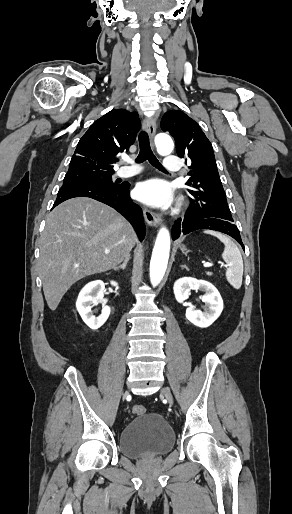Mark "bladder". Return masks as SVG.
Returning a JSON list of instances; mask_svg holds the SVG:
<instances>
[{
	"label": "bladder",
	"instance_id": "bladder-1",
	"mask_svg": "<svg viewBox=\"0 0 292 514\" xmlns=\"http://www.w3.org/2000/svg\"><path fill=\"white\" fill-rule=\"evenodd\" d=\"M175 435L165 418L154 412L131 419L119 436V448L129 458H147L172 449Z\"/></svg>",
	"mask_w": 292,
	"mask_h": 514
}]
</instances>
